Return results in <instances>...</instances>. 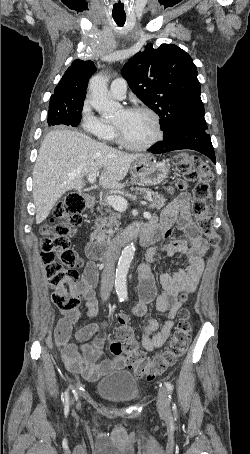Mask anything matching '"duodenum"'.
Wrapping results in <instances>:
<instances>
[{
	"label": "duodenum",
	"instance_id": "duodenum-1",
	"mask_svg": "<svg viewBox=\"0 0 250 454\" xmlns=\"http://www.w3.org/2000/svg\"><path fill=\"white\" fill-rule=\"evenodd\" d=\"M95 198L91 195L85 197L86 206L89 208H94ZM140 234V229L138 226L132 228H127L123 230L117 237L113 238L109 242H100L96 244H91L88 247L89 257L98 262H107L114 257V254L127 242H129L133 237Z\"/></svg>",
	"mask_w": 250,
	"mask_h": 454
}]
</instances>
